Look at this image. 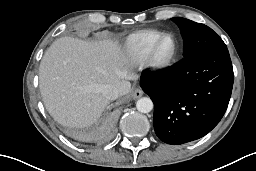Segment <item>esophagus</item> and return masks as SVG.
Masks as SVG:
<instances>
[{"mask_svg":"<svg viewBox=\"0 0 256 171\" xmlns=\"http://www.w3.org/2000/svg\"><path fill=\"white\" fill-rule=\"evenodd\" d=\"M143 95V90L141 88H135L133 91H132V97L134 99H138L140 98L141 96Z\"/></svg>","mask_w":256,"mask_h":171,"instance_id":"esophagus-1","label":"esophagus"}]
</instances>
